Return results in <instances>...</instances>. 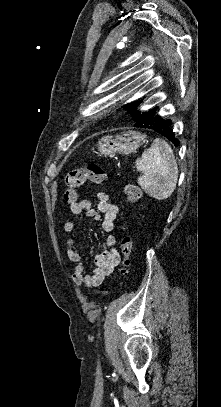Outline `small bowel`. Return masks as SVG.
Here are the masks:
<instances>
[{
    "label": "small bowel",
    "instance_id": "1",
    "mask_svg": "<svg viewBox=\"0 0 221 407\" xmlns=\"http://www.w3.org/2000/svg\"><path fill=\"white\" fill-rule=\"evenodd\" d=\"M97 200L96 207L88 200H80L70 205V211L76 218H81L83 214L95 220L102 218L103 229L110 233L106 239L108 249L96 256V268L92 274L85 273L82 256L75 247L74 235L78 229L77 224L72 220H66L63 224L64 230L72 235L66 240L65 248L68 259L74 264L72 281L78 287L92 288L100 285L112 273L116 266V258L120 257L115 247L116 237L111 234L119 208L104 193H98Z\"/></svg>",
    "mask_w": 221,
    "mask_h": 407
}]
</instances>
